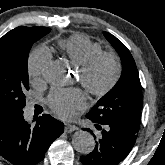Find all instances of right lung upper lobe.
<instances>
[{
    "label": "right lung upper lobe",
    "instance_id": "1",
    "mask_svg": "<svg viewBox=\"0 0 165 165\" xmlns=\"http://www.w3.org/2000/svg\"><path fill=\"white\" fill-rule=\"evenodd\" d=\"M21 27H23V26H21ZM18 28H20V27H17V28H15V29L11 30V31L8 32V33H12V32H14V31L18 30ZM38 28L47 29L46 27H38Z\"/></svg>",
    "mask_w": 165,
    "mask_h": 165
}]
</instances>
